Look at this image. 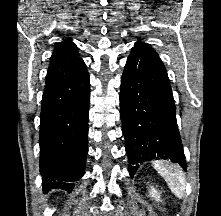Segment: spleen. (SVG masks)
I'll list each match as a JSON object with an SVG mask.
<instances>
[{"instance_id": "obj_1", "label": "spleen", "mask_w": 221, "mask_h": 216, "mask_svg": "<svg viewBox=\"0 0 221 216\" xmlns=\"http://www.w3.org/2000/svg\"><path fill=\"white\" fill-rule=\"evenodd\" d=\"M153 166L156 171L165 179L171 192L182 199L185 195L186 180L182 169L172 163L154 161Z\"/></svg>"}]
</instances>
